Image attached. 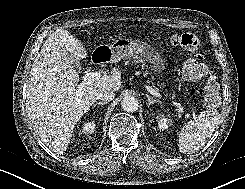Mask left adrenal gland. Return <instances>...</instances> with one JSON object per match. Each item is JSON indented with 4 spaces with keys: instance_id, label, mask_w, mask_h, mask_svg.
Wrapping results in <instances>:
<instances>
[{
    "instance_id": "a2214340",
    "label": "left adrenal gland",
    "mask_w": 245,
    "mask_h": 189,
    "mask_svg": "<svg viewBox=\"0 0 245 189\" xmlns=\"http://www.w3.org/2000/svg\"><path fill=\"white\" fill-rule=\"evenodd\" d=\"M145 96L148 99V106L154 104V103H160V101L157 99H153L151 96H149L148 94H145Z\"/></svg>"
}]
</instances>
